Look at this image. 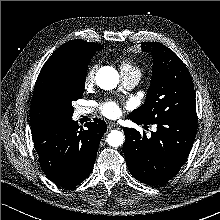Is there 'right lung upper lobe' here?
I'll return each instance as SVG.
<instances>
[{
    "instance_id": "right-lung-upper-lobe-1",
    "label": "right lung upper lobe",
    "mask_w": 220,
    "mask_h": 220,
    "mask_svg": "<svg viewBox=\"0 0 220 220\" xmlns=\"http://www.w3.org/2000/svg\"><path fill=\"white\" fill-rule=\"evenodd\" d=\"M103 47L83 40H70L61 45L46 61L37 78L34 88L30 121L31 128L56 118L55 103L52 98L53 75L66 61L85 55H93Z\"/></svg>"
}]
</instances>
